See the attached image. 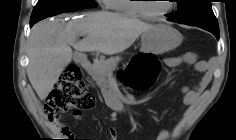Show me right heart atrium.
I'll return each mask as SVG.
<instances>
[{
    "label": "right heart atrium",
    "mask_w": 236,
    "mask_h": 140,
    "mask_svg": "<svg viewBox=\"0 0 236 140\" xmlns=\"http://www.w3.org/2000/svg\"><path fill=\"white\" fill-rule=\"evenodd\" d=\"M104 2V4L106 5V7H108V5H107V1H103Z\"/></svg>",
    "instance_id": "right-heart-atrium-1"
}]
</instances>
